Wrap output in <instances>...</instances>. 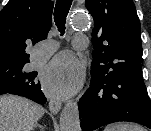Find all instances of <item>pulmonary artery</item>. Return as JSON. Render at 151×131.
<instances>
[{
  "mask_svg": "<svg viewBox=\"0 0 151 131\" xmlns=\"http://www.w3.org/2000/svg\"><path fill=\"white\" fill-rule=\"evenodd\" d=\"M88 45V39L85 35L78 34L74 38V46L77 49H85ZM56 49L55 44H51L49 46L43 47L37 52L38 61H43L48 58Z\"/></svg>",
  "mask_w": 151,
  "mask_h": 131,
  "instance_id": "e3ab8cb5",
  "label": "pulmonary artery"
}]
</instances>
